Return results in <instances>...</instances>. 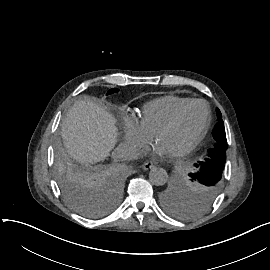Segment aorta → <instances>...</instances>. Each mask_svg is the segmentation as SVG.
Returning <instances> with one entry per match:
<instances>
[{
    "instance_id": "762f6f07",
    "label": "aorta",
    "mask_w": 270,
    "mask_h": 270,
    "mask_svg": "<svg viewBox=\"0 0 270 270\" xmlns=\"http://www.w3.org/2000/svg\"><path fill=\"white\" fill-rule=\"evenodd\" d=\"M167 172L163 168H152L149 172V180L153 185L162 186L167 182Z\"/></svg>"
}]
</instances>
